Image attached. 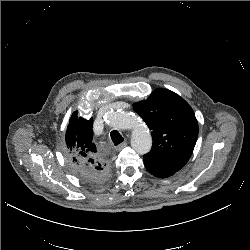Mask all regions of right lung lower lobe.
<instances>
[{
  "label": "right lung lower lobe",
  "mask_w": 250,
  "mask_h": 250,
  "mask_svg": "<svg viewBox=\"0 0 250 250\" xmlns=\"http://www.w3.org/2000/svg\"><path fill=\"white\" fill-rule=\"evenodd\" d=\"M71 168L79 179L85 182H89V183H97V182L102 181L109 172L108 168H105L102 171L84 170V169L78 168L77 166L73 164H71Z\"/></svg>",
  "instance_id": "obj_1"
}]
</instances>
